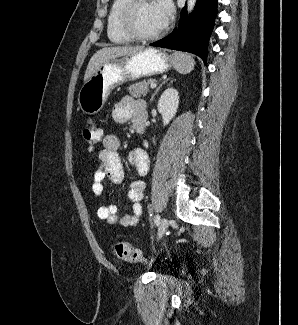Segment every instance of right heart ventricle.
I'll return each instance as SVG.
<instances>
[{
    "label": "right heart ventricle",
    "mask_w": 298,
    "mask_h": 325,
    "mask_svg": "<svg viewBox=\"0 0 298 325\" xmlns=\"http://www.w3.org/2000/svg\"><path fill=\"white\" fill-rule=\"evenodd\" d=\"M127 0H116L111 5L106 22V33L111 44L116 46L128 45L131 40L121 33L119 29V15Z\"/></svg>",
    "instance_id": "1"
}]
</instances>
